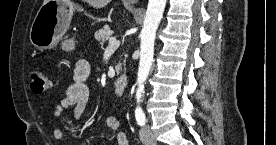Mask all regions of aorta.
Masks as SVG:
<instances>
[{
	"mask_svg": "<svg viewBox=\"0 0 276 145\" xmlns=\"http://www.w3.org/2000/svg\"><path fill=\"white\" fill-rule=\"evenodd\" d=\"M166 0H149L143 28L140 34V62L137 76L136 99L139 103L144 93V84L148 78L154 56L156 31L163 17Z\"/></svg>",
	"mask_w": 276,
	"mask_h": 145,
	"instance_id": "aorta-1",
	"label": "aorta"
}]
</instances>
